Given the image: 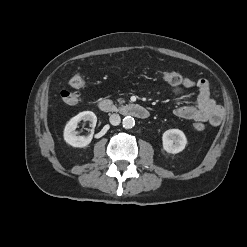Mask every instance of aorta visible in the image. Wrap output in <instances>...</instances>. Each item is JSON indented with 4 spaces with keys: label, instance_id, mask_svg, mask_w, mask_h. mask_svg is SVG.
Here are the masks:
<instances>
[{
    "label": "aorta",
    "instance_id": "762f6f07",
    "mask_svg": "<svg viewBox=\"0 0 247 247\" xmlns=\"http://www.w3.org/2000/svg\"><path fill=\"white\" fill-rule=\"evenodd\" d=\"M122 124H123V127H124L125 129H131V128H133L134 125H135V120H134V118L131 117V116H126V117L123 119Z\"/></svg>",
    "mask_w": 247,
    "mask_h": 247
}]
</instances>
